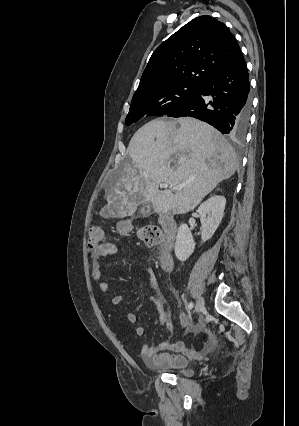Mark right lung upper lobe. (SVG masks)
Returning <instances> with one entry per match:
<instances>
[{
  "instance_id": "obj_1",
  "label": "right lung upper lobe",
  "mask_w": 299,
  "mask_h": 426,
  "mask_svg": "<svg viewBox=\"0 0 299 426\" xmlns=\"http://www.w3.org/2000/svg\"><path fill=\"white\" fill-rule=\"evenodd\" d=\"M241 53L224 23L208 15L194 18L154 51L132 100L176 84L201 85Z\"/></svg>"
}]
</instances>
